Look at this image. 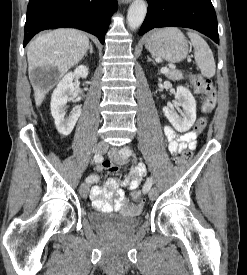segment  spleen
Instances as JSON below:
<instances>
[{"mask_svg": "<svg viewBox=\"0 0 247 275\" xmlns=\"http://www.w3.org/2000/svg\"><path fill=\"white\" fill-rule=\"evenodd\" d=\"M188 37L194 48L195 61L203 77L211 78L215 75L216 65L212 50L207 42L197 33L188 31Z\"/></svg>", "mask_w": 247, "mask_h": 275, "instance_id": "spleen-1", "label": "spleen"}]
</instances>
